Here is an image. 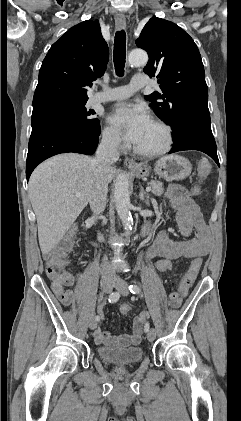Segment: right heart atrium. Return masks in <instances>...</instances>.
<instances>
[{"label": "right heart atrium", "mask_w": 241, "mask_h": 421, "mask_svg": "<svg viewBox=\"0 0 241 421\" xmlns=\"http://www.w3.org/2000/svg\"><path fill=\"white\" fill-rule=\"evenodd\" d=\"M102 141L110 149L120 150L123 147L122 138L111 126H106L102 131Z\"/></svg>", "instance_id": "right-heart-atrium-1"}]
</instances>
